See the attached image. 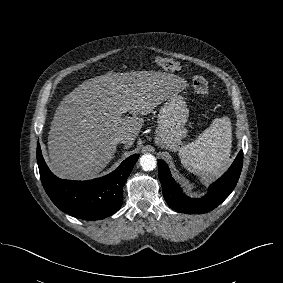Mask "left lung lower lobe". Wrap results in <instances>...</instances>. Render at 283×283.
<instances>
[{
    "mask_svg": "<svg viewBox=\"0 0 283 283\" xmlns=\"http://www.w3.org/2000/svg\"><path fill=\"white\" fill-rule=\"evenodd\" d=\"M243 165V151L240 150L231 167L222 177L212 183L209 192L200 199L189 198L172 178L167 164L158 160V176L163 196L168 205L186 214L207 213L220 205L235 188Z\"/></svg>",
    "mask_w": 283,
    "mask_h": 283,
    "instance_id": "obj_1",
    "label": "left lung lower lobe"
}]
</instances>
